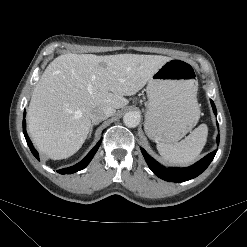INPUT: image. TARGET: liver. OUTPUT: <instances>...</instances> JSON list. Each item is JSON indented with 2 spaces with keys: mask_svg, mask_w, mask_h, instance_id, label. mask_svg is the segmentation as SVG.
Returning a JSON list of instances; mask_svg holds the SVG:
<instances>
[{
  "mask_svg": "<svg viewBox=\"0 0 247 247\" xmlns=\"http://www.w3.org/2000/svg\"><path fill=\"white\" fill-rule=\"evenodd\" d=\"M172 58L158 55L64 54L45 69L27 113L34 145L48 158L75 154L91 128L93 109H120Z\"/></svg>",
  "mask_w": 247,
  "mask_h": 247,
  "instance_id": "obj_1",
  "label": "liver"
}]
</instances>
